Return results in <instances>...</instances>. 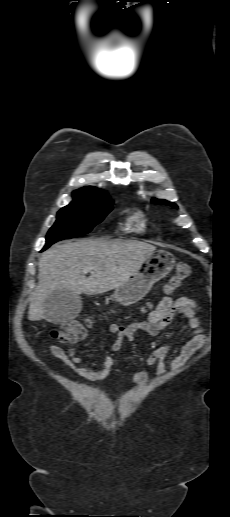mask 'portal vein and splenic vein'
<instances>
[{
    "mask_svg": "<svg viewBox=\"0 0 230 517\" xmlns=\"http://www.w3.org/2000/svg\"><path fill=\"white\" fill-rule=\"evenodd\" d=\"M91 270H92V268H91V267H85V268L83 269V272H85V273H86V272H90Z\"/></svg>",
    "mask_w": 230,
    "mask_h": 517,
    "instance_id": "18ae733b",
    "label": "portal vein and splenic vein"
}]
</instances>
